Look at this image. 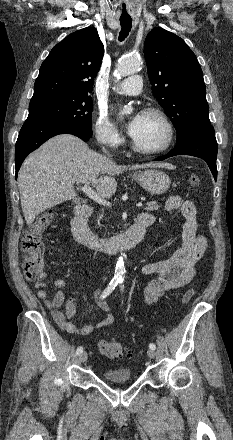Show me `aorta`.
Here are the masks:
<instances>
[{
    "label": "aorta",
    "mask_w": 233,
    "mask_h": 440,
    "mask_svg": "<svg viewBox=\"0 0 233 440\" xmlns=\"http://www.w3.org/2000/svg\"><path fill=\"white\" fill-rule=\"evenodd\" d=\"M140 58L136 56H125L117 64L116 72L118 76H128L136 73L140 68ZM132 107L126 106L122 109V115L131 114ZM125 275V266L123 257H119L115 267V278L123 280Z\"/></svg>",
    "instance_id": "762f6f07"
}]
</instances>
